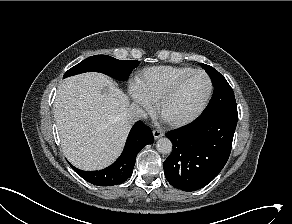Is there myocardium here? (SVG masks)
<instances>
[{"mask_svg":"<svg viewBox=\"0 0 292 224\" xmlns=\"http://www.w3.org/2000/svg\"><path fill=\"white\" fill-rule=\"evenodd\" d=\"M196 74H202L207 78L208 81V91L207 95L202 102V104L196 109L195 112H193L191 115L188 117H185L183 119L179 120H166L162 117V109L164 105L171 99L173 98L176 93L179 91V89L182 87V85L192 76ZM213 94V81L210 77V75L205 72L204 70H194L192 72H189L182 77H180L176 82H174L156 101V113L157 115L169 126L177 128V127H182L185 126L191 122H193L195 119H197L207 108L211 97Z\"/></svg>","mask_w":292,"mask_h":224,"instance_id":"f54148a6","label":"myocardium"}]
</instances>
